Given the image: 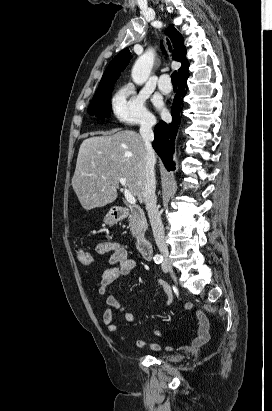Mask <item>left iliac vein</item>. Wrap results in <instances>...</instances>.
Instances as JSON below:
<instances>
[{
    "instance_id": "left-iliac-vein-1",
    "label": "left iliac vein",
    "mask_w": 272,
    "mask_h": 411,
    "mask_svg": "<svg viewBox=\"0 0 272 411\" xmlns=\"http://www.w3.org/2000/svg\"><path fill=\"white\" fill-rule=\"evenodd\" d=\"M162 270H163V272H165V273L168 271L167 262H164V263H163V265H162Z\"/></svg>"
}]
</instances>
